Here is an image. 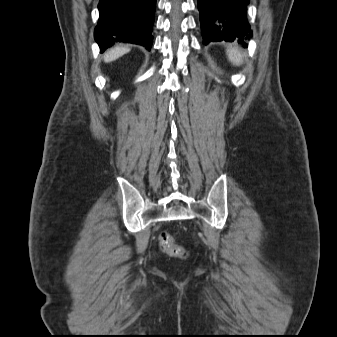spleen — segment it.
<instances>
[{
  "label": "spleen",
  "mask_w": 337,
  "mask_h": 337,
  "mask_svg": "<svg viewBox=\"0 0 337 337\" xmlns=\"http://www.w3.org/2000/svg\"><path fill=\"white\" fill-rule=\"evenodd\" d=\"M227 56L229 61L236 66H239L243 63V55L240 50L236 47L227 49Z\"/></svg>",
  "instance_id": "spleen-1"
}]
</instances>
